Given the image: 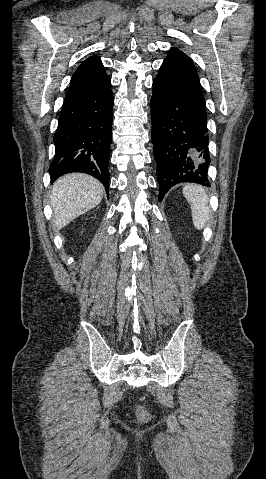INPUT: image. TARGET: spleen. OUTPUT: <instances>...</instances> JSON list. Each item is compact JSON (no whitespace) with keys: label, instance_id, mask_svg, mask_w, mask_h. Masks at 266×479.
<instances>
[{"label":"spleen","instance_id":"1","mask_svg":"<svg viewBox=\"0 0 266 479\" xmlns=\"http://www.w3.org/2000/svg\"><path fill=\"white\" fill-rule=\"evenodd\" d=\"M182 192L191 207L194 227L201 230L210 219L208 194L204 187L196 184L185 185Z\"/></svg>","mask_w":266,"mask_h":479}]
</instances>
